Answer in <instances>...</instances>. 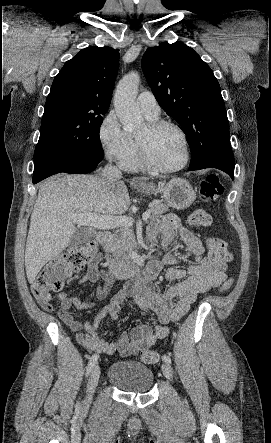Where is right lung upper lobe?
<instances>
[{
	"label": "right lung upper lobe",
	"instance_id": "cb5924a9",
	"mask_svg": "<svg viewBox=\"0 0 271 443\" xmlns=\"http://www.w3.org/2000/svg\"><path fill=\"white\" fill-rule=\"evenodd\" d=\"M118 63L119 53L111 47L90 46L81 50L55 76L46 104L70 101L108 110Z\"/></svg>",
	"mask_w": 271,
	"mask_h": 443
}]
</instances>
